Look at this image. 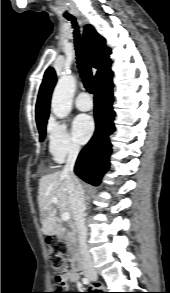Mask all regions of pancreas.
<instances>
[{"mask_svg": "<svg viewBox=\"0 0 170 293\" xmlns=\"http://www.w3.org/2000/svg\"><path fill=\"white\" fill-rule=\"evenodd\" d=\"M70 230L64 228L63 226H59L57 235L58 238L63 240L67 247L70 248L72 254L76 253L77 247V235L74 229V226L70 225Z\"/></svg>", "mask_w": 170, "mask_h": 293, "instance_id": "cf45deb5", "label": "pancreas"}]
</instances>
